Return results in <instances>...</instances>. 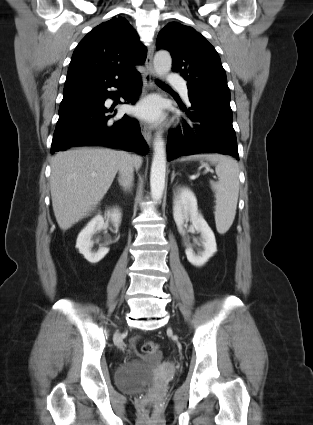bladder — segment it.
<instances>
[{"label": "bladder", "mask_w": 313, "mask_h": 425, "mask_svg": "<svg viewBox=\"0 0 313 425\" xmlns=\"http://www.w3.org/2000/svg\"><path fill=\"white\" fill-rule=\"evenodd\" d=\"M160 363V357L151 360H132L121 364L116 372L115 382L118 389L137 392L154 380V368Z\"/></svg>", "instance_id": "bladder-1"}]
</instances>
